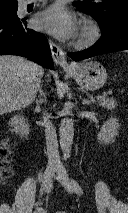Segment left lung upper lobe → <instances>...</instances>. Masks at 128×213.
<instances>
[{
    "mask_svg": "<svg viewBox=\"0 0 128 213\" xmlns=\"http://www.w3.org/2000/svg\"><path fill=\"white\" fill-rule=\"evenodd\" d=\"M73 4L92 15L100 23L101 29L128 16V0H85Z\"/></svg>",
    "mask_w": 128,
    "mask_h": 213,
    "instance_id": "obj_1",
    "label": "left lung upper lobe"
}]
</instances>
